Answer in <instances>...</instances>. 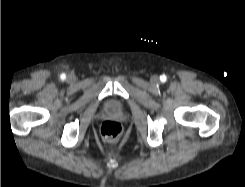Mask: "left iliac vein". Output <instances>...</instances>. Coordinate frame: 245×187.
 <instances>
[{"label":"left iliac vein","instance_id":"obj_1","mask_svg":"<svg viewBox=\"0 0 245 187\" xmlns=\"http://www.w3.org/2000/svg\"><path fill=\"white\" fill-rule=\"evenodd\" d=\"M151 82L154 83V84L158 83L159 82V77L157 75L152 76L151 77Z\"/></svg>","mask_w":245,"mask_h":187}]
</instances>
